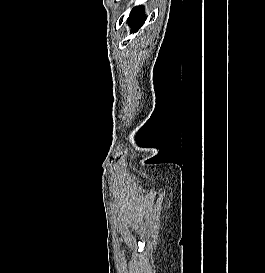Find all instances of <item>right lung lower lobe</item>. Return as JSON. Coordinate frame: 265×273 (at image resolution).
I'll list each match as a JSON object with an SVG mask.
<instances>
[{"label": "right lung lower lobe", "instance_id": "obj_1", "mask_svg": "<svg viewBox=\"0 0 265 273\" xmlns=\"http://www.w3.org/2000/svg\"><path fill=\"white\" fill-rule=\"evenodd\" d=\"M145 20L146 16L144 15V8L138 6L132 9L127 22L131 27V31L136 32L143 25Z\"/></svg>", "mask_w": 265, "mask_h": 273}]
</instances>
